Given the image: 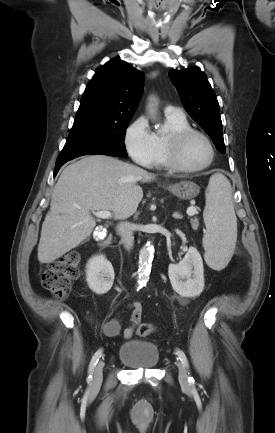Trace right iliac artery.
I'll list each match as a JSON object with an SVG mask.
<instances>
[{
	"mask_svg": "<svg viewBox=\"0 0 275 433\" xmlns=\"http://www.w3.org/2000/svg\"><path fill=\"white\" fill-rule=\"evenodd\" d=\"M101 355H102V349H99V350H97V352L94 354V356L92 357V359L90 361L89 368H88L89 375L87 378L88 382L92 381V374H93L94 368H95L96 364L98 363Z\"/></svg>",
	"mask_w": 275,
	"mask_h": 433,
	"instance_id": "82829eb1",
	"label": "right iliac artery"
}]
</instances>
